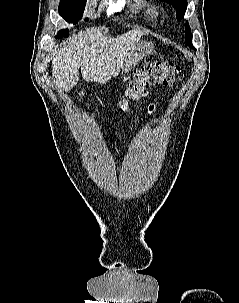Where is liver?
<instances>
[{
	"instance_id": "liver-1",
	"label": "liver",
	"mask_w": 239,
	"mask_h": 303,
	"mask_svg": "<svg viewBox=\"0 0 239 303\" xmlns=\"http://www.w3.org/2000/svg\"><path fill=\"white\" fill-rule=\"evenodd\" d=\"M147 32L133 29L115 37L96 29L64 45L52 61V75L59 92H68L79 81V69L87 82H103L117 74L128 53Z\"/></svg>"
}]
</instances>
